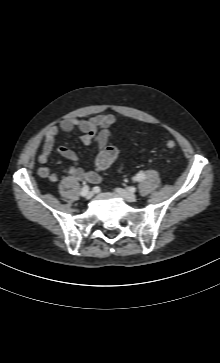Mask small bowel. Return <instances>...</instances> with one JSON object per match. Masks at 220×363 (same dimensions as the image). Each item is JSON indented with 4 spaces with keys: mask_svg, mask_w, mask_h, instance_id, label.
I'll list each match as a JSON object with an SVG mask.
<instances>
[{
    "mask_svg": "<svg viewBox=\"0 0 220 363\" xmlns=\"http://www.w3.org/2000/svg\"><path fill=\"white\" fill-rule=\"evenodd\" d=\"M116 124V118L111 114H99L88 119L71 118L63 120L58 125H54L48 129L45 134L44 143L38 154V161L45 164L53 152H57L60 156L73 162V164L65 170V173L75 180H86L90 183L100 182L102 179L101 172L107 167L103 164V153L111 139L110 128ZM78 129L81 132L80 140L86 144L93 146L96 150L95 171H85L78 165L77 154L68 147L56 146V136L60 131L72 132ZM37 173L40 177L48 179L51 182L59 180L58 175L52 172L48 167L41 166Z\"/></svg>",
    "mask_w": 220,
    "mask_h": 363,
    "instance_id": "1",
    "label": "small bowel"
}]
</instances>
